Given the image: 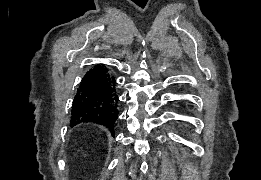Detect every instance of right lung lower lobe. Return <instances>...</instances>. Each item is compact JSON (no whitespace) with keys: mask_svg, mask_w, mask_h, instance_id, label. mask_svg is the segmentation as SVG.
Masks as SVG:
<instances>
[{"mask_svg":"<svg viewBox=\"0 0 261 180\" xmlns=\"http://www.w3.org/2000/svg\"><path fill=\"white\" fill-rule=\"evenodd\" d=\"M115 78L104 66L97 65L83 77L71 110V126L92 122L107 127L113 134L118 118Z\"/></svg>","mask_w":261,"mask_h":180,"instance_id":"right-lung-lower-lobe-1","label":"right lung lower lobe"}]
</instances>
